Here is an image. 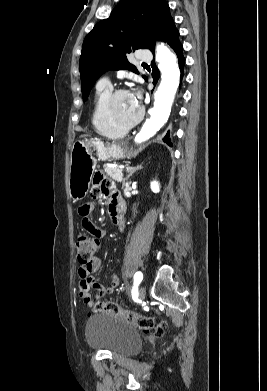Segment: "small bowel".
Wrapping results in <instances>:
<instances>
[{
	"mask_svg": "<svg viewBox=\"0 0 267 391\" xmlns=\"http://www.w3.org/2000/svg\"><path fill=\"white\" fill-rule=\"evenodd\" d=\"M91 195L94 198L103 197L107 199L109 211L114 223L123 227L125 205L114 183L102 172L98 171L93 176ZM92 210L93 205L91 203H84L78 208V213L82 219V226L86 233L90 236L100 238L105 232L90 219ZM100 265V259L95 257L87 266H81L78 271V294L82 302L88 307L92 306L93 303L90 294L91 290L96 291L95 298L98 299L112 294L119 284V278L116 275L112 276L111 282L107 286L102 285L97 278L92 276V273L96 272L100 268Z\"/></svg>",
	"mask_w": 267,
	"mask_h": 391,
	"instance_id": "small-bowel-1",
	"label": "small bowel"
}]
</instances>
